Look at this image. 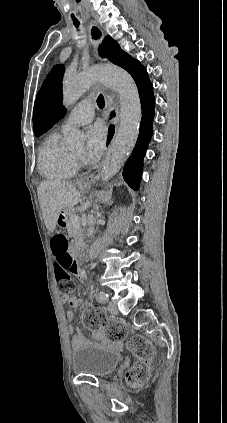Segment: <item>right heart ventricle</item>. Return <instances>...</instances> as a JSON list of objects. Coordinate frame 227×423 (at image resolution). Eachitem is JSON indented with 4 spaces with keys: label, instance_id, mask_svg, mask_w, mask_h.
I'll use <instances>...</instances> for the list:
<instances>
[{
    "label": "right heart ventricle",
    "instance_id": "1",
    "mask_svg": "<svg viewBox=\"0 0 227 423\" xmlns=\"http://www.w3.org/2000/svg\"><path fill=\"white\" fill-rule=\"evenodd\" d=\"M60 133L52 130L38 149V172L47 179L64 180L74 173L73 155L61 146Z\"/></svg>",
    "mask_w": 227,
    "mask_h": 423
}]
</instances>
